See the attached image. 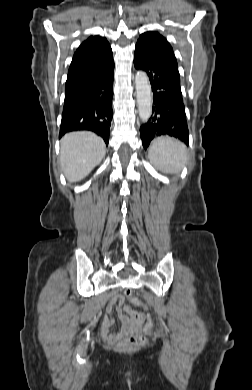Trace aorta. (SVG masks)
Listing matches in <instances>:
<instances>
[{"instance_id": "1", "label": "aorta", "mask_w": 252, "mask_h": 390, "mask_svg": "<svg viewBox=\"0 0 252 390\" xmlns=\"http://www.w3.org/2000/svg\"><path fill=\"white\" fill-rule=\"evenodd\" d=\"M135 87L140 119L147 122L152 114V90L149 78L144 71L136 73Z\"/></svg>"}]
</instances>
